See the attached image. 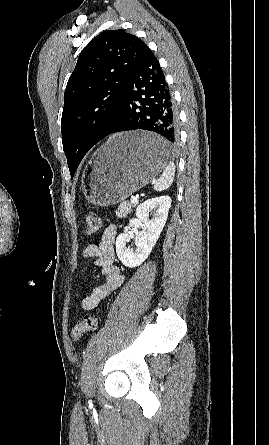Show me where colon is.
<instances>
[{"label": "colon", "instance_id": "obj_1", "mask_svg": "<svg viewBox=\"0 0 269 445\" xmlns=\"http://www.w3.org/2000/svg\"><path fill=\"white\" fill-rule=\"evenodd\" d=\"M101 220L97 215H89L86 218V234L93 235L99 231ZM99 316H85L72 329V339L78 341L85 333L97 329Z\"/></svg>", "mask_w": 269, "mask_h": 445}]
</instances>
